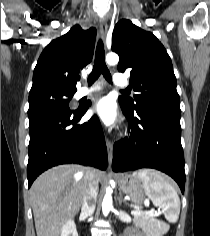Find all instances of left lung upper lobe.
Wrapping results in <instances>:
<instances>
[{"label":"left lung upper lobe","instance_id":"5c2ea615","mask_svg":"<svg viewBox=\"0 0 210 236\" xmlns=\"http://www.w3.org/2000/svg\"><path fill=\"white\" fill-rule=\"evenodd\" d=\"M112 50L120 57L118 70L131 71L130 85L138 92L134 99L119 98L127 110L150 103L180 106L171 59L152 33L129 20H120L113 30Z\"/></svg>","mask_w":210,"mask_h":236}]
</instances>
